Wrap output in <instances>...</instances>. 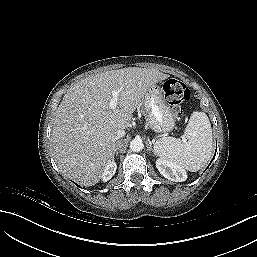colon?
<instances>
[{"label": "colon", "instance_id": "1", "mask_svg": "<svg viewBox=\"0 0 257 257\" xmlns=\"http://www.w3.org/2000/svg\"><path fill=\"white\" fill-rule=\"evenodd\" d=\"M163 92L174 114L181 116L183 114V104L191 97L190 90L178 80L167 79L163 83Z\"/></svg>", "mask_w": 257, "mask_h": 257}]
</instances>
